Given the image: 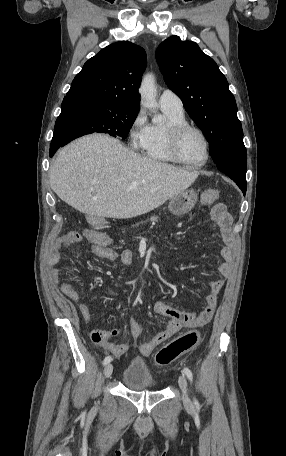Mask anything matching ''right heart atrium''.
<instances>
[{
  "label": "right heart atrium",
  "instance_id": "obj_1",
  "mask_svg": "<svg viewBox=\"0 0 286 456\" xmlns=\"http://www.w3.org/2000/svg\"><path fill=\"white\" fill-rule=\"evenodd\" d=\"M146 114L143 109H140L131 121L129 127V140L134 148H138L143 143L148 129Z\"/></svg>",
  "mask_w": 286,
  "mask_h": 456
}]
</instances>
